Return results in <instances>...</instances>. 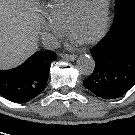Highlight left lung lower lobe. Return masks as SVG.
Listing matches in <instances>:
<instances>
[{"mask_svg":"<svg viewBox=\"0 0 135 135\" xmlns=\"http://www.w3.org/2000/svg\"><path fill=\"white\" fill-rule=\"evenodd\" d=\"M94 72L84 79L93 94L116 99L135 84V14L114 22L106 37L91 50Z\"/></svg>","mask_w":135,"mask_h":135,"instance_id":"1","label":"left lung lower lobe"}]
</instances>
